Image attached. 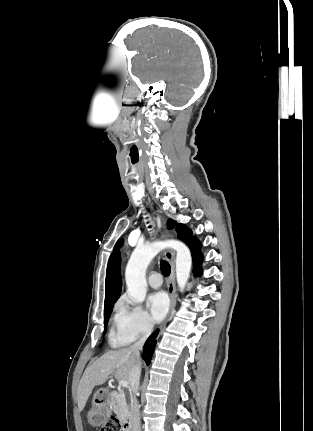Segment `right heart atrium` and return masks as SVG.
<instances>
[{
    "label": "right heart atrium",
    "mask_w": 313,
    "mask_h": 431,
    "mask_svg": "<svg viewBox=\"0 0 313 431\" xmlns=\"http://www.w3.org/2000/svg\"><path fill=\"white\" fill-rule=\"evenodd\" d=\"M118 325L132 339L149 335L153 325L146 311L128 297L118 303Z\"/></svg>",
    "instance_id": "right-heart-atrium-1"
}]
</instances>
